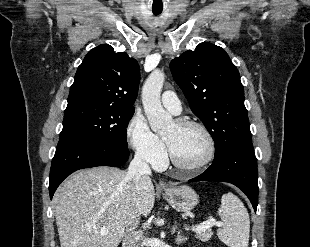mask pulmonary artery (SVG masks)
<instances>
[{"mask_svg": "<svg viewBox=\"0 0 310 247\" xmlns=\"http://www.w3.org/2000/svg\"><path fill=\"white\" fill-rule=\"evenodd\" d=\"M163 106L171 113L178 115L182 111V106L179 98L173 91H165L161 96Z\"/></svg>", "mask_w": 310, "mask_h": 247, "instance_id": "pulmonary-artery-1", "label": "pulmonary artery"}]
</instances>
